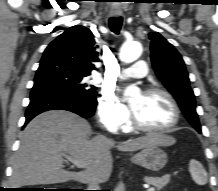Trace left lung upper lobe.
<instances>
[{"mask_svg": "<svg viewBox=\"0 0 218 191\" xmlns=\"http://www.w3.org/2000/svg\"><path fill=\"white\" fill-rule=\"evenodd\" d=\"M149 38L151 39V61L157 77L177 100L189 123L201 133L195 95L190 87L188 72L181 55L158 32L149 33Z\"/></svg>", "mask_w": 218, "mask_h": 191, "instance_id": "obj_1", "label": "left lung upper lobe"}]
</instances>
